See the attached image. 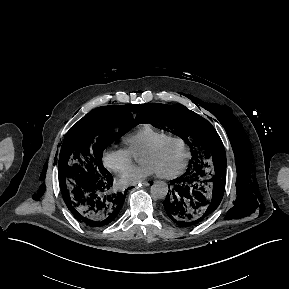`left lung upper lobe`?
Masks as SVG:
<instances>
[{
    "label": "left lung upper lobe",
    "instance_id": "1",
    "mask_svg": "<svg viewBox=\"0 0 289 289\" xmlns=\"http://www.w3.org/2000/svg\"><path fill=\"white\" fill-rule=\"evenodd\" d=\"M138 118L156 128L167 130L185 140L192 152L188 169L212 170L226 164L225 150L214 127L203 117L181 104H143Z\"/></svg>",
    "mask_w": 289,
    "mask_h": 289
}]
</instances>
